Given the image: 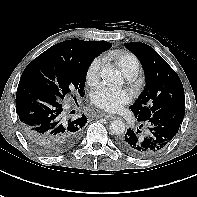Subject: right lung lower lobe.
<instances>
[{
  "mask_svg": "<svg viewBox=\"0 0 197 197\" xmlns=\"http://www.w3.org/2000/svg\"><path fill=\"white\" fill-rule=\"evenodd\" d=\"M16 112L25 136L47 153L59 154L79 140L86 116L65 117L62 102L45 86L20 80Z\"/></svg>",
  "mask_w": 197,
  "mask_h": 197,
  "instance_id": "right-lung-lower-lobe-1",
  "label": "right lung lower lobe"
}]
</instances>
